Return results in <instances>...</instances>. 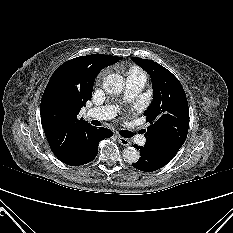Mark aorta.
<instances>
[{
    "label": "aorta",
    "instance_id": "obj_1",
    "mask_svg": "<svg viewBox=\"0 0 233 233\" xmlns=\"http://www.w3.org/2000/svg\"><path fill=\"white\" fill-rule=\"evenodd\" d=\"M124 85V79L119 74H110L103 80V89L109 94H120ZM123 159L130 164L136 163L139 159V152L134 147L125 148Z\"/></svg>",
    "mask_w": 233,
    "mask_h": 233
}]
</instances>
